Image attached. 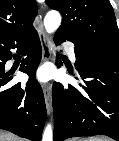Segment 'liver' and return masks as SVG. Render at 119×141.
Segmentation results:
<instances>
[{
    "label": "liver",
    "instance_id": "liver-1",
    "mask_svg": "<svg viewBox=\"0 0 119 141\" xmlns=\"http://www.w3.org/2000/svg\"><path fill=\"white\" fill-rule=\"evenodd\" d=\"M0 141H18V138L11 133L0 131Z\"/></svg>",
    "mask_w": 119,
    "mask_h": 141
}]
</instances>
